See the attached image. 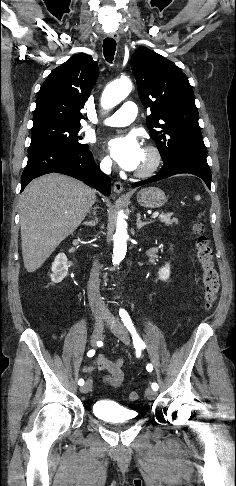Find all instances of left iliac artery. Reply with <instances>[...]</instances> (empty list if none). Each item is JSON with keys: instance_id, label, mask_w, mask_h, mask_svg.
<instances>
[{"instance_id": "obj_1", "label": "left iliac artery", "mask_w": 236, "mask_h": 486, "mask_svg": "<svg viewBox=\"0 0 236 486\" xmlns=\"http://www.w3.org/2000/svg\"><path fill=\"white\" fill-rule=\"evenodd\" d=\"M119 315L126 326V328L129 330V332L132 334L133 337V344L135 348H145V343L142 341V339L139 337V335L136 333L135 327L133 325V322L124 309L119 310ZM148 372H151L153 370L152 364H148L146 367ZM152 389L157 391L158 390V384L157 383H152Z\"/></svg>"}]
</instances>
